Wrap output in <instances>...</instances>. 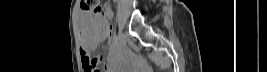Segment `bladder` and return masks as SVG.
<instances>
[{"label": "bladder", "instance_id": "31cf9c89", "mask_svg": "<svg viewBox=\"0 0 267 72\" xmlns=\"http://www.w3.org/2000/svg\"><path fill=\"white\" fill-rule=\"evenodd\" d=\"M92 19L91 18H88V25L90 26V23H89V21H91Z\"/></svg>", "mask_w": 267, "mask_h": 72}]
</instances>
